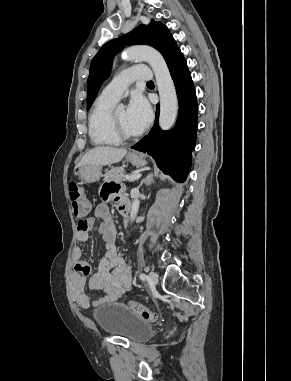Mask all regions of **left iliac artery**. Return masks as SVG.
<instances>
[{
    "label": "left iliac artery",
    "instance_id": "obj_1",
    "mask_svg": "<svg viewBox=\"0 0 291 381\" xmlns=\"http://www.w3.org/2000/svg\"><path fill=\"white\" fill-rule=\"evenodd\" d=\"M146 278H147V276H146L145 273H141V274H140V279H141L142 281L146 280Z\"/></svg>",
    "mask_w": 291,
    "mask_h": 381
}]
</instances>
